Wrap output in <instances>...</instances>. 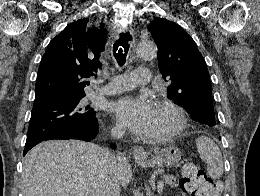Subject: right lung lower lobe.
<instances>
[{
  "instance_id": "right-lung-lower-lobe-1",
  "label": "right lung lower lobe",
  "mask_w": 260,
  "mask_h": 196,
  "mask_svg": "<svg viewBox=\"0 0 260 196\" xmlns=\"http://www.w3.org/2000/svg\"><path fill=\"white\" fill-rule=\"evenodd\" d=\"M98 133V121L96 120L95 123L89 124L87 126L69 131L64 132L61 134H57L42 140H39L35 143H32L30 145H25L23 156L35 145L38 143L45 141V140H52V139H60V140H67V139H78V140H84V141H91L96 137ZM115 148V145H113Z\"/></svg>"
}]
</instances>
